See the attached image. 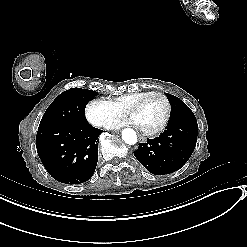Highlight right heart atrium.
<instances>
[{"instance_id": "right-heart-atrium-1", "label": "right heart atrium", "mask_w": 247, "mask_h": 247, "mask_svg": "<svg viewBox=\"0 0 247 247\" xmlns=\"http://www.w3.org/2000/svg\"><path fill=\"white\" fill-rule=\"evenodd\" d=\"M113 103L100 98H92L85 106V117L95 127H107L112 121Z\"/></svg>"}]
</instances>
